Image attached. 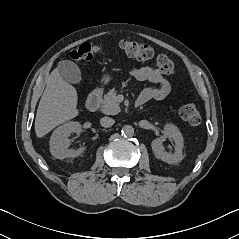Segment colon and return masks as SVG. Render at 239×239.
Masks as SVG:
<instances>
[{"instance_id": "colon-1", "label": "colon", "mask_w": 239, "mask_h": 239, "mask_svg": "<svg viewBox=\"0 0 239 239\" xmlns=\"http://www.w3.org/2000/svg\"><path fill=\"white\" fill-rule=\"evenodd\" d=\"M120 48L129 56L139 60L147 61L155 58L154 49L147 44H140L131 40H121ZM101 50L100 45L83 43L73 49L69 57L74 62L91 60ZM156 64L159 70L165 75H172L175 71L173 62L163 54L156 57ZM181 118L192 127H198L201 124V114L194 104H184L179 109Z\"/></svg>"}]
</instances>
